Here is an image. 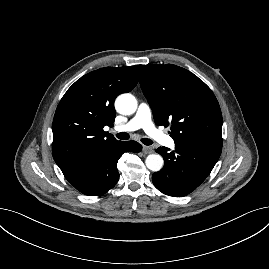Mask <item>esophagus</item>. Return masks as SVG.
Returning <instances> with one entry per match:
<instances>
[{
  "mask_svg": "<svg viewBox=\"0 0 269 269\" xmlns=\"http://www.w3.org/2000/svg\"><path fill=\"white\" fill-rule=\"evenodd\" d=\"M143 152L145 153V154H150V153H152L153 152V150H152V147H150V146H143Z\"/></svg>",
  "mask_w": 269,
  "mask_h": 269,
  "instance_id": "34e87169",
  "label": "esophagus"
}]
</instances>
